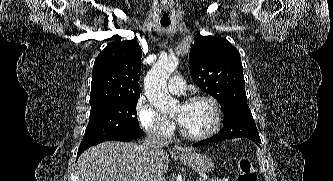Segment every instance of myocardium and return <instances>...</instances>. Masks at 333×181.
I'll use <instances>...</instances> for the list:
<instances>
[{
  "mask_svg": "<svg viewBox=\"0 0 333 181\" xmlns=\"http://www.w3.org/2000/svg\"><path fill=\"white\" fill-rule=\"evenodd\" d=\"M196 101H204L206 103H208L212 109L213 112V122L212 125L210 126V128L208 130H206L205 132L199 133V134H191L186 132L182 126L180 127V132L181 135L188 139V140H204L206 138H209L210 136H212L213 134H215L221 125V110L219 107V104L217 103V101L208 95H194L191 96L189 98H187L184 101V104H190Z\"/></svg>",
  "mask_w": 333,
  "mask_h": 181,
  "instance_id": "1",
  "label": "myocardium"
}]
</instances>
